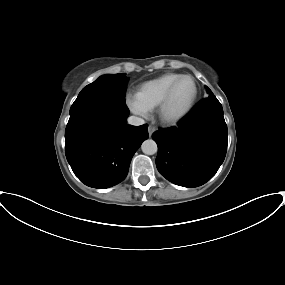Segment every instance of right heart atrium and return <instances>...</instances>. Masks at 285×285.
<instances>
[{
	"label": "right heart atrium",
	"instance_id": "1",
	"mask_svg": "<svg viewBox=\"0 0 285 285\" xmlns=\"http://www.w3.org/2000/svg\"><path fill=\"white\" fill-rule=\"evenodd\" d=\"M127 105L130 110L136 114L146 115L147 111L143 109L134 99H128Z\"/></svg>",
	"mask_w": 285,
	"mask_h": 285
}]
</instances>
